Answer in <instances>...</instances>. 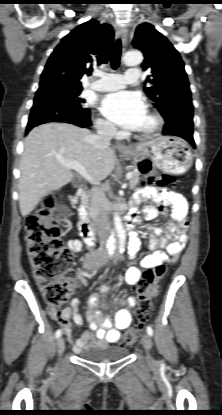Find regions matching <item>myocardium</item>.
I'll use <instances>...</instances> for the list:
<instances>
[{
  "instance_id": "obj_1",
  "label": "myocardium",
  "mask_w": 222,
  "mask_h": 415,
  "mask_svg": "<svg viewBox=\"0 0 222 415\" xmlns=\"http://www.w3.org/2000/svg\"><path fill=\"white\" fill-rule=\"evenodd\" d=\"M146 113L153 121L152 126L147 130L134 131V136L142 140L155 137L161 131L164 125V119L158 112L147 109Z\"/></svg>"
}]
</instances>
